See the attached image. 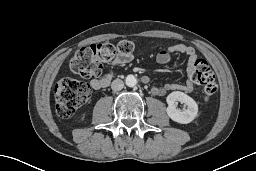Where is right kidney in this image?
Instances as JSON below:
<instances>
[{"label": "right kidney", "instance_id": "obj_1", "mask_svg": "<svg viewBox=\"0 0 256 171\" xmlns=\"http://www.w3.org/2000/svg\"><path fill=\"white\" fill-rule=\"evenodd\" d=\"M81 120H84V116H82Z\"/></svg>", "mask_w": 256, "mask_h": 171}]
</instances>
